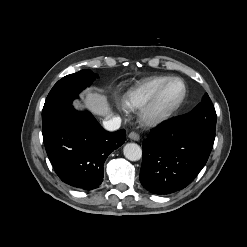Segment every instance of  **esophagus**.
<instances>
[{
  "instance_id": "34e87169",
  "label": "esophagus",
  "mask_w": 247,
  "mask_h": 247,
  "mask_svg": "<svg viewBox=\"0 0 247 247\" xmlns=\"http://www.w3.org/2000/svg\"><path fill=\"white\" fill-rule=\"evenodd\" d=\"M128 137L131 140H134V141H139L140 140V136L136 132L129 133Z\"/></svg>"
}]
</instances>
